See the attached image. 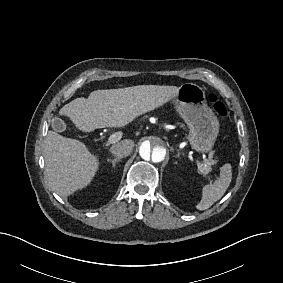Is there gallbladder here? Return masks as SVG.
Here are the masks:
<instances>
[{
  "mask_svg": "<svg viewBox=\"0 0 283 283\" xmlns=\"http://www.w3.org/2000/svg\"><path fill=\"white\" fill-rule=\"evenodd\" d=\"M52 127L57 132H63L66 130L65 122L62 119L57 118V117L52 119Z\"/></svg>",
  "mask_w": 283,
  "mask_h": 283,
  "instance_id": "gallbladder-1",
  "label": "gallbladder"
}]
</instances>
